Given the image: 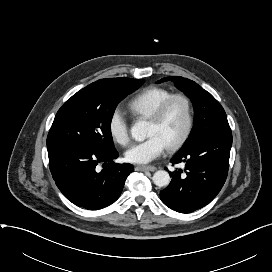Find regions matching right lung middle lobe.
I'll return each mask as SVG.
<instances>
[{
	"mask_svg": "<svg viewBox=\"0 0 272 272\" xmlns=\"http://www.w3.org/2000/svg\"><path fill=\"white\" fill-rule=\"evenodd\" d=\"M144 80L101 79L74 94L57 112L47 137L48 156L71 148L115 149L111 120L117 104Z\"/></svg>",
	"mask_w": 272,
	"mask_h": 272,
	"instance_id": "1",
	"label": "right lung middle lobe"
}]
</instances>
